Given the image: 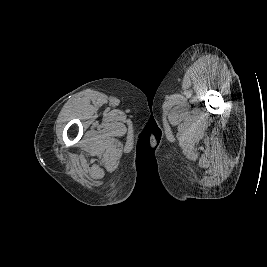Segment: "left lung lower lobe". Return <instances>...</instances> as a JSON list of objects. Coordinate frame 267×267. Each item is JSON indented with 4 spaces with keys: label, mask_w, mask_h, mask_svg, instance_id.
Listing matches in <instances>:
<instances>
[{
    "label": "left lung lower lobe",
    "mask_w": 267,
    "mask_h": 267,
    "mask_svg": "<svg viewBox=\"0 0 267 267\" xmlns=\"http://www.w3.org/2000/svg\"><path fill=\"white\" fill-rule=\"evenodd\" d=\"M152 157H154L153 154H152ZM143 158H145V155L143 152V145H142V143H139L138 148H137V160H140ZM149 159H151V155H149Z\"/></svg>",
    "instance_id": "1"
}]
</instances>
